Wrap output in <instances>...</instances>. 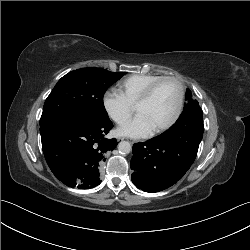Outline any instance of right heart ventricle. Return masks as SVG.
<instances>
[{
	"label": "right heart ventricle",
	"mask_w": 250,
	"mask_h": 250,
	"mask_svg": "<svg viewBox=\"0 0 250 250\" xmlns=\"http://www.w3.org/2000/svg\"><path fill=\"white\" fill-rule=\"evenodd\" d=\"M164 76L156 74H136L131 75L123 79L119 83L120 92L131 104L135 105L139 97L144 91L155 81L159 80Z\"/></svg>",
	"instance_id": "right-heart-ventricle-1"
}]
</instances>
